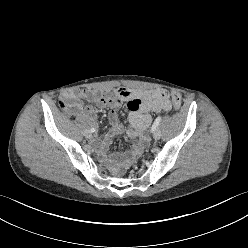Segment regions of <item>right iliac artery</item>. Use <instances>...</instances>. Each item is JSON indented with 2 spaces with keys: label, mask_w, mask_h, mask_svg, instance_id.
<instances>
[{
  "label": "right iliac artery",
  "mask_w": 248,
  "mask_h": 248,
  "mask_svg": "<svg viewBox=\"0 0 248 248\" xmlns=\"http://www.w3.org/2000/svg\"><path fill=\"white\" fill-rule=\"evenodd\" d=\"M94 131H95L94 128H92V129H91V132H94Z\"/></svg>",
  "instance_id": "obj_1"
}]
</instances>
